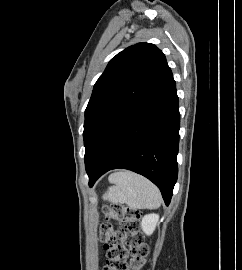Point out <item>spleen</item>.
Returning a JSON list of instances; mask_svg holds the SVG:
<instances>
[{
  "mask_svg": "<svg viewBox=\"0 0 242 270\" xmlns=\"http://www.w3.org/2000/svg\"><path fill=\"white\" fill-rule=\"evenodd\" d=\"M104 200L125 203L133 209H156L161 205L159 189L145 177L130 171L116 173Z\"/></svg>",
  "mask_w": 242,
  "mask_h": 270,
  "instance_id": "obj_1",
  "label": "spleen"
}]
</instances>
